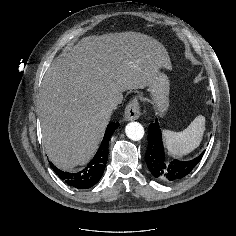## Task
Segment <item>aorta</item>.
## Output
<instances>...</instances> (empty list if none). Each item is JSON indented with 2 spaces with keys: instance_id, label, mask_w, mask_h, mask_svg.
<instances>
[{
  "instance_id": "1",
  "label": "aorta",
  "mask_w": 236,
  "mask_h": 236,
  "mask_svg": "<svg viewBox=\"0 0 236 236\" xmlns=\"http://www.w3.org/2000/svg\"><path fill=\"white\" fill-rule=\"evenodd\" d=\"M127 137L133 141H139L144 136V128L138 122H130L125 127Z\"/></svg>"
}]
</instances>
